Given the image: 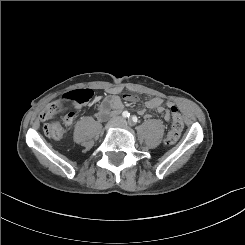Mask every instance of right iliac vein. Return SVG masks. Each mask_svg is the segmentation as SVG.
<instances>
[{"mask_svg":"<svg viewBox=\"0 0 245 245\" xmlns=\"http://www.w3.org/2000/svg\"><path fill=\"white\" fill-rule=\"evenodd\" d=\"M119 124V119L118 118H113L112 120H110L106 126H105V129L106 130H109L111 129L112 127L116 126Z\"/></svg>","mask_w":245,"mask_h":245,"instance_id":"right-iliac-vein-1","label":"right iliac vein"}]
</instances>
